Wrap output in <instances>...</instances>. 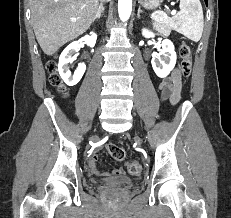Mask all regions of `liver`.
Returning <instances> with one entry per match:
<instances>
[{
    "mask_svg": "<svg viewBox=\"0 0 231 218\" xmlns=\"http://www.w3.org/2000/svg\"><path fill=\"white\" fill-rule=\"evenodd\" d=\"M98 5L99 0H30L33 29L43 52L51 56L85 33L98 13Z\"/></svg>",
    "mask_w": 231,
    "mask_h": 218,
    "instance_id": "obj_1",
    "label": "liver"
}]
</instances>
